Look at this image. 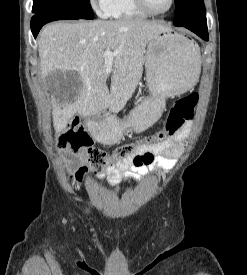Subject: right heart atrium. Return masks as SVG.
I'll return each instance as SVG.
<instances>
[{
	"mask_svg": "<svg viewBox=\"0 0 247 275\" xmlns=\"http://www.w3.org/2000/svg\"><path fill=\"white\" fill-rule=\"evenodd\" d=\"M111 2L112 0H90L92 8L101 17L109 15Z\"/></svg>",
	"mask_w": 247,
	"mask_h": 275,
	"instance_id": "1",
	"label": "right heart atrium"
}]
</instances>
